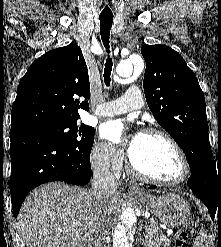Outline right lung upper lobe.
I'll use <instances>...</instances> for the list:
<instances>
[{"instance_id": "right-lung-upper-lobe-1", "label": "right lung upper lobe", "mask_w": 221, "mask_h": 247, "mask_svg": "<svg viewBox=\"0 0 221 247\" xmlns=\"http://www.w3.org/2000/svg\"><path fill=\"white\" fill-rule=\"evenodd\" d=\"M88 69L75 43L51 50L35 60L20 81L12 107L11 130L77 121L78 109L88 110Z\"/></svg>"}]
</instances>
